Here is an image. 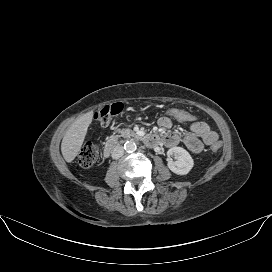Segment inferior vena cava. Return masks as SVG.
Returning <instances> with one entry per match:
<instances>
[{
    "label": "inferior vena cava",
    "instance_id": "inferior-vena-cava-1",
    "mask_svg": "<svg viewBox=\"0 0 272 272\" xmlns=\"http://www.w3.org/2000/svg\"><path fill=\"white\" fill-rule=\"evenodd\" d=\"M124 154V148L120 145H117L112 150V158L119 159Z\"/></svg>",
    "mask_w": 272,
    "mask_h": 272
}]
</instances>
